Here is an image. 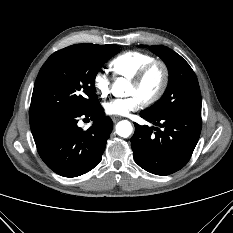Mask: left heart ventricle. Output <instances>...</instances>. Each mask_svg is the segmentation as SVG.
Listing matches in <instances>:
<instances>
[{
    "instance_id": "b2bd125f",
    "label": "left heart ventricle",
    "mask_w": 233,
    "mask_h": 233,
    "mask_svg": "<svg viewBox=\"0 0 233 233\" xmlns=\"http://www.w3.org/2000/svg\"><path fill=\"white\" fill-rule=\"evenodd\" d=\"M162 81V70L160 67H154L146 76L140 86L130 83L128 95H136L141 101L150 98L158 90Z\"/></svg>"
}]
</instances>
